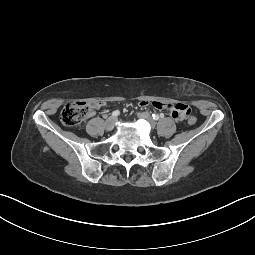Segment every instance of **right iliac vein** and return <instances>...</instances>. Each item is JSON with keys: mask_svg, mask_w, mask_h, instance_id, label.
<instances>
[{"mask_svg": "<svg viewBox=\"0 0 255 255\" xmlns=\"http://www.w3.org/2000/svg\"><path fill=\"white\" fill-rule=\"evenodd\" d=\"M115 117H109L105 122V128L107 131H111L115 126Z\"/></svg>", "mask_w": 255, "mask_h": 255, "instance_id": "1", "label": "right iliac vein"}]
</instances>
